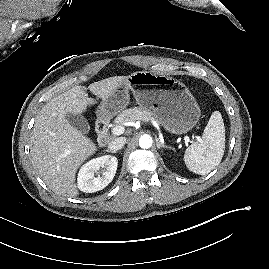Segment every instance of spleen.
I'll return each instance as SVG.
<instances>
[{
    "mask_svg": "<svg viewBox=\"0 0 269 269\" xmlns=\"http://www.w3.org/2000/svg\"><path fill=\"white\" fill-rule=\"evenodd\" d=\"M225 150V127L219 111L212 113L202 138L185 151L187 168L199 175H205L221 162Z\"/></svg>",
    "mask_w": 269,
    "mask_h": 269,
    "instance_id": "spleen-1",
    "label": "spleen"
}]
</instances>
